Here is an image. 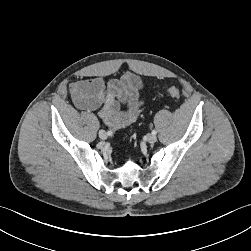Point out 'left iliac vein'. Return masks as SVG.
<instances>
[{
	"label": "left iliac vein",
	"mask_w": 251,
	"mask_h": 251,
	"mask_svg": "<svg viewBox=\"0 0 251 251\" xmlns=\"http://www.w3.org/2000/svg\"><path fill=\"white\" fill-rule=\"evenodd\" d=\"M146 139L150 144H153L157 141V137L154 134L147 135Z\"/></svg>",
	"instance_id": "4c4485c4"
}]
</instances>
